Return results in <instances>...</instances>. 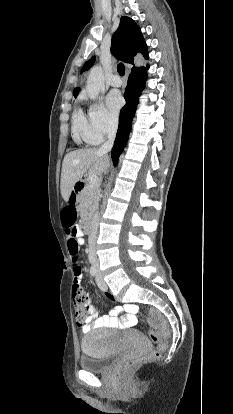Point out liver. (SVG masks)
I'll list each match as a JSON object with an SVG mask.
<instances>
[{
	"label": "liver",
	"instance_id": "obj_1",
	"mask_svg": "<svg viewBox=\"0 0 233 414\" xmlns=\"http://www.w3.org/2000/svg\"><path fill=\"white\" fill-rule=\"evenodd\" d=\"M78 161L76 164L75 162ZM109 167V157L97 148L79 149L68 153L62 163L60 190L67 202L73 187L87 170L89 174L101 176Z\"/></svg>",
	"mask_w": 233,
	"mask_h": 414
}]
</instances>
